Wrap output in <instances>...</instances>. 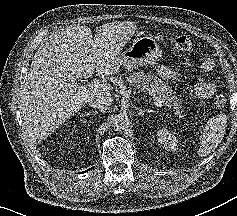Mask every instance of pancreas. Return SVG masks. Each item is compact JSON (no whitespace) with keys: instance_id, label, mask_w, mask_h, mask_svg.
I'll list each match as a JSON object with an SVG mask.
<instances>
[{"instance_id":"pancreas-1","label":"pancreas","mask_w":237,"mask_h":216,"mask_svg":"<svg viewBox=\"0 0 237 216\" xmlns=\"http://www.w3.org/2000/svg\"><path fill=\"white\" fill-rule=\"evenodd\" d=\"M126 81L131 86L147 91L151 96L155 97L157 94L162 97V99L172 102L173 106H179L181 104V99L172 95V90L160 79L151 74L145 75L142 71L133 72L129 74Z\"/></svg>"}]
</instances>
